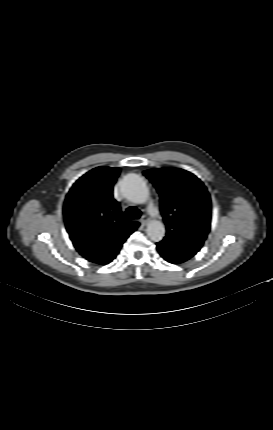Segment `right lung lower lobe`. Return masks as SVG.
I'll return each mask as SVG.
<instances>
[{"instance_id":"right-lung-lower-lobe-1","label":"right lung lower lobe","mask_w":273,"mask_h":430,"mask_svg":"<svg viewBox=\"0 0 273 430\" xmlns=\"http://www.w3.org/2000/svg\"><path fill=\"white\" fill-rule=\"evenodd\" d=\"M119 249L120 248H118L112 255H110V257L103 264H108L109 262H111L116 257L117 253L119 252Z\"/></svg>"}]
</instances>
